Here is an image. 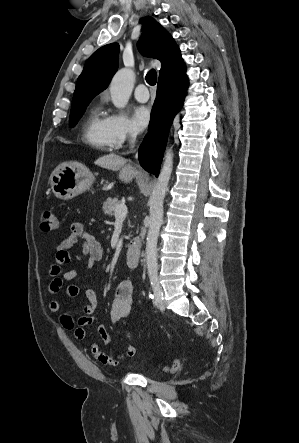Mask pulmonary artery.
Masks as SVG:
<instances>
[{"mask_svg": "<svg viewBox=\"0 0 299 443\" xmlns=\"http://www.w3.org/2000/svg\"><path fill=\"white\" fill-rule=\"evenodd\" d=\"M134 96L139 102H146L149 99V92L145 84H139L134 91Z\"/></svg>", "mask_w": 299, "mask_h": 443, "instance_id": "e3ab8cb5", "label": "pulmonary artery"}]
</instances>
